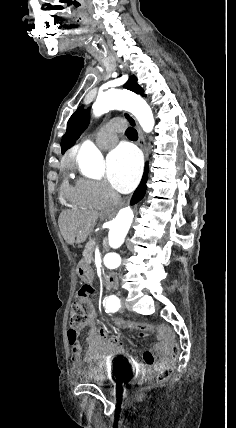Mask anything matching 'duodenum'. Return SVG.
I'll list each match as a JSON object with an SVG mask.
<instances>
[{
  "mask_svg": "<svg viewBox=\"0 0 236 428\" xmlns=\"http://www.w3.org/2000/svg\"><path fill=\"white\" fill-rule=\"evenodd\" d=\"M117 285V275L115 273H108L105 277V288L110 291Z\"/></svg>",
  "mask_w": 236,
  "mask_h": 428,
  "instance_id": "410a0bca",
  "label": "duodenum"
}]
</instances>
